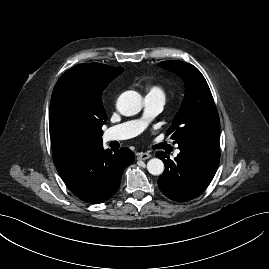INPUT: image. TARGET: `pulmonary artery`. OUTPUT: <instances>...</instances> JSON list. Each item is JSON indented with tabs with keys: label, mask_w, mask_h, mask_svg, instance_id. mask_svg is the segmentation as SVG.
Segmentation results:
<instances>
[{
	"label": "pulmonary artery",
	"mask_w": 269,
	"mask_h": 269,
	"mask_svg": "<svg viewBox=\"0 0 269 269\" xmlns=\"http://www.w3.org/2000/svg\"><path fill=\"white\" fill-rule=\"evenodd\" d=\"M145 115L142 119L121 123L110 127L104 133V141L124 140L140 134L148 121L163 108L165 103L164 95L160 93L148 94L144 99ZM178 153V151H176Z\"/></svg>",
	"instance_id": "pulmonary-artery-1"
}]
</instances>
